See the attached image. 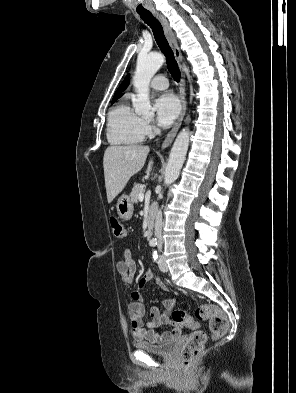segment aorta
Masks as SVG:
<instances>
[{
	"instance_id": "1",
	"label": "aorta",
	"mask_w": 296,
	"mask_h": 393,
	"mask_svg": "<svg viewBox=\"0 0 296 393\" xmlns=\"http://www.w3.org/2000/svg\"><path fill=\"white\" fill-rule=\"evenodd\" d=\"M164 61V56L157 52L139 54L133 77V85L137 92V98L133 101V106L137 114L143 116L153 114L149 100V83ZM189 135V129L184 128L176 137L165 170V185L173 183L180 174L189 146Z\"/></svg>"
}]
</instances>
